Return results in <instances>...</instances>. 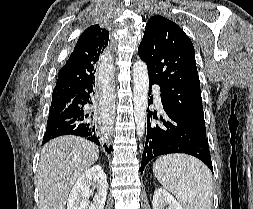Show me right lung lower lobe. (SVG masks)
<instances>
[{
  "label": "right lung lower lobe",
  "instance_id": "98d812e1",
  "mask_svg": "<svg viewBox=\"0 0 253 209\" xmlns=\"http://www.w3.org/2000/svg\"><path fill=\"white\" fill-rule=\"evenodd\" d=\"M94 87L93 84L68 99H52L43 144L58 136L75 135L104 147L108 153L111 152L103 131L83 109L86 104L93 103Z\"/></svg>",
  "mask_w": 253,
  "mask_h": 209
}]
</instances>
